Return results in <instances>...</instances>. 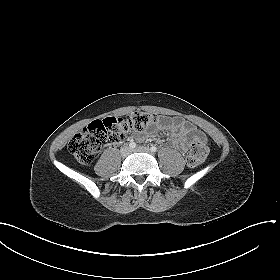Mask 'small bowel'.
I'll use <instances>...</instances> for the list:
<instances>
[{
  "label": "small bowel",
  "instance_id": "c3829d8e",
  "mask_svg": "<svg viewBox=\"0 0 280 280\" xmlns=\"http://www.w3.org/2000/svg\"><path fill=\"white\" fill-rule=\"evenodd\" d=\"M159 129L171 128L174 134L175 144L183 151H186L190 143L196 138H204L203 134L199 132L191 123L179 118L163 119L159 124ZM152 134L157 135V132ZM139 138H142L139 136Z\"/></svg>",
  "mask_w": 280,
  "mask_h": 280
}]
</instances>
